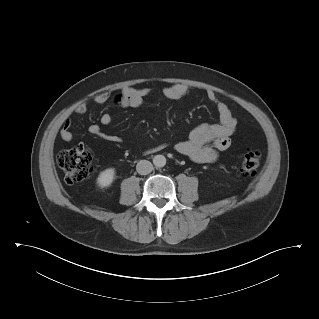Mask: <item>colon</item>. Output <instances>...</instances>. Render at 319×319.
<instances>
[{
	"mask_svg": "<svg viewBox=\"0 0 319 319\" xmlns=\"http://www.w3.org/2000/svg\"><path fill=\"white\" fill-rule=\"evenodd\" d=\"M58 166L63 170L66 181L78 183L87 180L93 171V156L90 149L79 144L73 148L64 149L57 155ZM260 166V153L249 150L243 154L240 172L250 174Z\"/></svg>",
	"mask_w": 319,
	"mask_h": 319,
	"instance_id": "obj_1",
	"label": "colon"
}]
</instances>
